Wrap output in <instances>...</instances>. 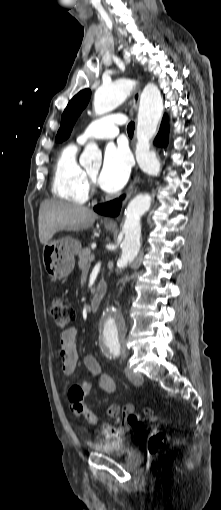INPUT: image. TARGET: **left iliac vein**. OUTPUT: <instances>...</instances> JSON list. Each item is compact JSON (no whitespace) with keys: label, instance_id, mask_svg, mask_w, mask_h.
<instances>
[{"label":"left iliac vein","instance_id":"obj_1","mask_svg":"<svg viewBox=\"0 0 221 510\" xmlns=\"http://www.w3.org/2000/svg\"><path fill=\"white\" fill-rule=\"evenodd\" d=\"M125 357V354H122ZM125 374L127 378L135 385H140L143 382V376L140 373L133 372L129 367L125 368Z\"/></svg>","mask_w":221,"mask_h":510}]
</instances>
